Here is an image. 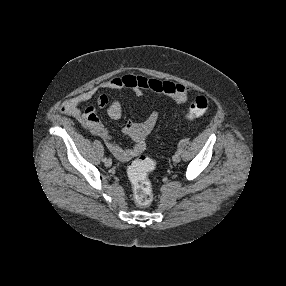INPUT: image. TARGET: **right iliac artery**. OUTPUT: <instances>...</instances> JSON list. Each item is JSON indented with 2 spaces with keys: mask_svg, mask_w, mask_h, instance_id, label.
Returning <instances> with one entry per match:
<instances>
[{
  "mask_svg": "<svg viewBox=\"0 0 286 286\" xmlns=\"http://www.w3.org/2000/svg\"><path fill=\"white\" fill-rule=\"evenodd\" d=\"M106 160H107V158H106V157H104V158L102 159V161H103V162H105Z\"/></svg>",
  "mask_w": 286,
  "mask_h": 286,
  "instance_id": "82829eb1",
  "label": "right iliac artery"
}]
</instances>
